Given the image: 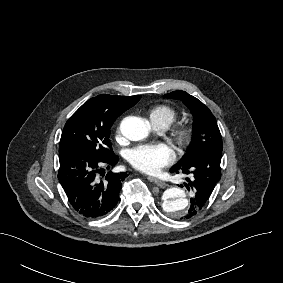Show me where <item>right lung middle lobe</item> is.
<instances>
[{"label": "right lung middle lobe", "mask_w": 283, "mask_h": 283, "mask_svg": "<svg viewBox=\"0 0 283 283\" xmlns=\"http://www.w3.org/2000/svg\"><path fill=\"white\" fill-rule=\"evenodd\" d=\"M140 95L124 97L102 94L85 102L67 121L59 144V155L82 150L97 158L113 151L110 128L118 116L134 106Z\"/></svg>", "instance_id": "obj_1"}]
</instances>
